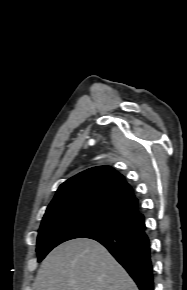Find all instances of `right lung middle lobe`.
Wrapping results in <instances>:
<instances>
[{
  "label": "right lung middle lobe",
  "instance_id": "1",
  "mask_svg": "<svg viewBox=\"0 0 187 290\" xmlns=\"http://www.w3.org/2000/svg\"><path fill=\"white\" fill-rule=\"evenodd\" d=\"M116 212L96 206H82L44 215L37 238L38 262L62 242L89 238L130 225Z\"/></svg>",
  "mask_w": 187,
  "mask_h": 290
}]
</instances>
